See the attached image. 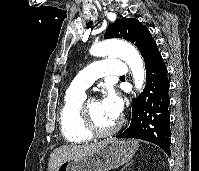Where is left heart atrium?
I'll use <instances>...</instances> for the list:
<instances>
[{
  "instance_id": "1",
  "label": "left heart atrium",
  "mask_w": 199,
  "mask_h": 171,
  "mask_svg": "<svg viewBox=\"0 0 199 171\" xmlns=\"http://www.w3.org/2000/svg\"><path fill=\"white\" fill-rule=\"evenodd\" d=\"M104 113L111 119L117 120L121 115L123 104L114 91H109L101 101Z\"/></svg>"
}]
</instances>
